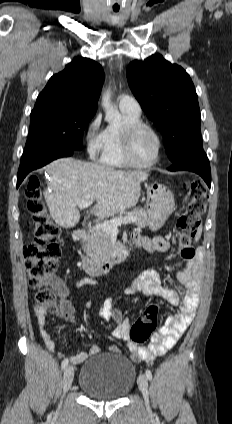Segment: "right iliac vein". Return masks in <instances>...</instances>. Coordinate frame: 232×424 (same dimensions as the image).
<instances>
[{
    "mask_svg": "<svg viewBox=\"0 0 232 424\" xmlns=\"http://www.w3.org/2000/svg\"><path fill=\"white\" fill-rule=\"evenodd\" d=\"M73 378H74V367L68 366L65 369L64 376H63V390H64V392H66L70 388V386L73 382Z\"/></svg>",
    "mask_w": 232,
    "mask_h": 424,
    "instance_id": "1",
    "label": "right iliac vein"
}]
</instances>
